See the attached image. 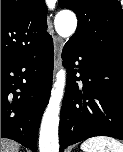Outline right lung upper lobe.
<instances>
[{"mask_svg":"<svg viewBox=\"0 0 123 152\" xmlns=\"http://www.w3.org/2000/svg\"><path fill=\"white\" fill-rule=\"evenodd\" d=\"M43 0H1V60L21 58L50 35Z\"/></svg>","mask_w":123,"mask_h":152,"instance_id":"cb5924a9","label":"right lung upper lobe"}]
</instances>
